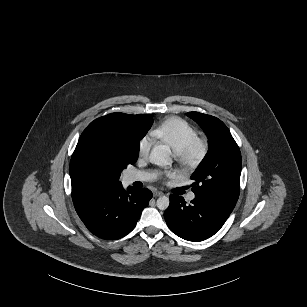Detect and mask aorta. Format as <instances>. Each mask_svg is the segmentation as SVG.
<instances>
[{"mask_svg":"<svg viewBox=\"0 0 307 307\" xmlns=\"http://www.w3.org/2000/svg\"><path fill=\"white\" fill-rule=\"evenodd\" d=\"M150 162L158 166H167L172 164V152L168 145L155 146L150 154ZM169 198L167 196H160L157 199V207L165 210L169 206Z\"/></svg>","mask_w":307,"mask_h":307,"instance_id":"1","label":"aorta"}]
</instances>
